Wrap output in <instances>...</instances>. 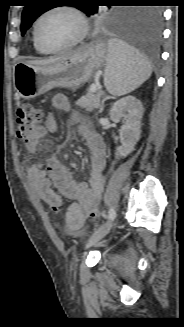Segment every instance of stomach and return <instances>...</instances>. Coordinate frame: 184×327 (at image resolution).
<instances>
[{
	"label": "stomach",
	"instance_id": "stomach-1",
	"mask_svg": "<svg viewBox=\"0 0 184 327\" xmlns=\"http://www.w3.org/2000/svg\"><path fill=\"white\" fill-rule=\"evenodd\" d=\"M107 54L108 46L96 42L57 63H17L13 69L14 88L23 99L35 98L55 87L77 90L102 70Z\"/></svg>",
	"mask_w": 184,
	"mask_h": 327
}]
</instances>
